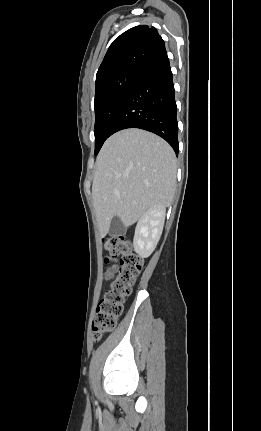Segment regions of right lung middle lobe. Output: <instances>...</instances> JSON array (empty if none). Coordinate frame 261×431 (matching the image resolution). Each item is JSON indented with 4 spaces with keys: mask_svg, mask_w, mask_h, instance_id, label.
Returning a JSON list of instances; mask_svg holds the SVG:
<instances>
[{
    "mask_svg": "<svg viewBox=\"0 0 261 431\" xmlns=\"http://www.w3.org/2000/svg\"><path fill=\"white\" fill-rule=\"evenodd\" d=\"M140 71L123 72L96 87L95 91V155L111 135L113 120Z\"/></svg>",
    "mask_w": 261,
    "mask_h": 431,
    "instance_id": "right-lung-middle-lobe-1",
    "label": "right lung middle lobe"
}]
</instances>
